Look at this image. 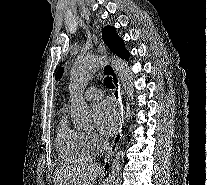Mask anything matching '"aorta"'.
<instances>
[{
    "label": "aorta",
    "instance_id": "762f6f07",
    "mask_svg": "<svg viewBox=\"0 0 207 185\" xmlns=\"http://www.w3.org/2000/svg\"><path fill=\"white\" fill-rule=\"evenodd\" d=\"M104 62V57L91 55L76 61L72 66L69 91L72 100L73 124L79 129L89 130L93 127L94 113L83 99V92L94 73ZM112 62L126 94L132 97L134 92V76L130 67L120 58H112ZM124 155V150H119L115 154L104 185H120Z\"/></svg>",
    "mask_w": 207,
    "mask_h": 185
}]
</instances>
